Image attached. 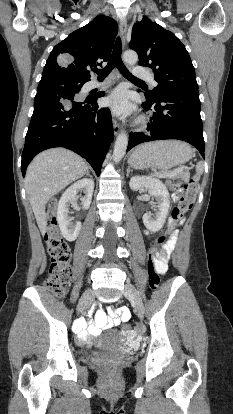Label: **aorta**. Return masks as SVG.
<instances>
[{"instance_id": "762f6f07", "label": "aorta", "mask_w": 233, "mask_h": 414, "mask_svg": "<svg viewBox=\"0 0 233 414\" xmlns=\"http://www.w3.org/2000/svg\"><path fill=\"white\" fill-rule=\"evenodd\" d=\"M123 60L126 64L133 66L138 61V55L135 51H126L123 54ZM128 145V136L125 132L120 133L115 142L113 151V160L115 163H119L126 153Z\"/></svg>"}]
</instances>
